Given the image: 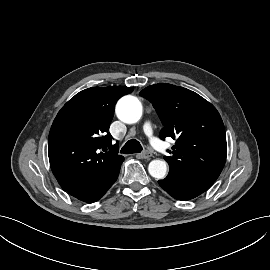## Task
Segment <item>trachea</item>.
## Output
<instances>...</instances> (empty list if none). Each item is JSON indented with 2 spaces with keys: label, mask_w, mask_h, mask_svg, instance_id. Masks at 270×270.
I'll return each mask as SVG.
<instances>
[{
  "label": "trachea",
  "mask_w": 270,
  "mask_h": 270,
  "mask_svg": "<svg viewBox=\"0 0 270 270\" xmlns=\"http://www.w3.org/2000/svg\"><path fill=\"white\" fill-rule=\"evenodd\" d=\"M143 150L141 144L136 139L129 140L121 149V153L124 154H133L139 153Z\"/></svg>",
  "instance_id": "3493384b"
}]
</instances>
